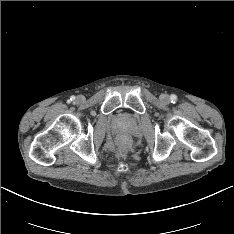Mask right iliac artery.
<instances>
[{
	"label": "right iliac artery",
	"mask_w": 234,
	"mask_h": 234,
	"mask_svg": "<svg viewBox=\"0 0 234 234\" xmlns=\"http://www.w3.org/2000/svg\"><path fill=\"white\" fill-rule=\"evenodd\" d=\"M74 100H75V97L72 96V97L70 98L69 102H70V101H74Z\"/></svg>",
	"instance_id": "obj_1"
}]
</instances>
